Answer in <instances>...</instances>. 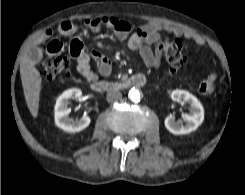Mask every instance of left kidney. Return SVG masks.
Segmentation results:
<instances>
[{"instance_id": "1", "label": "left kidney", "mask_w": 245, "mask_h": 195, "mask_svg": "<svg viewBox=\"0 0 245 195\" xmlns=\"http://www.w3.org/2000/svg\"><path fill=\"white\" fill-rule=\"evenodd\" d=\"M171 98L174 101L187 103L191 107V113L184 115V125L176 122L172 115L167 116L164 122L167 130L175 135H183L195 131L204 120V109L200 101L185 90H174L171 93Z\"/></svg>"}]
</instances>
